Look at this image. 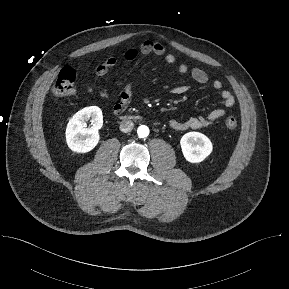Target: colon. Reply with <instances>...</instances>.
I'll use <instances>...</instances> for the list:
<instances>
[{
  "instance_id": "colon-1",
  "label": "colon",
  "mask_w": 289,
  "mask_h": 289,
  "mask_svg": "<svg viewBox=\"0 0 289 289\" xmlns=\"http://www.w3.org/2000/svg\"><path fill=\"white\" fill-rule=\"evenodd\" d=\"M76 90V72L72 67H64L53 86V93L56 97H70L74 95ZM225 126L229 130L237 127V119L234 115H228L225 119Z\"/></svg>"
}]
</instances>
